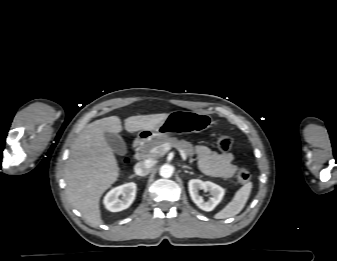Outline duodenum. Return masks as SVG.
<instances>
[{
    "instance_id": "410a0bca",
    "label": "duodenum",
    "mask_w": 337,
    "mask_h": 261,
    "mask_svg": "<svg viewBox=\"0 0 337 261\" xmlns=\"http://www.w3.org/2000/svg\"><path fill=\"white\" fill-rule=\"evenodd\" d=\"M145 141V137L141 136L136 138V140L133 143V150L135 153H137L141 147V145L143 144V142Z\"/></svg>"
}]
</instances>
